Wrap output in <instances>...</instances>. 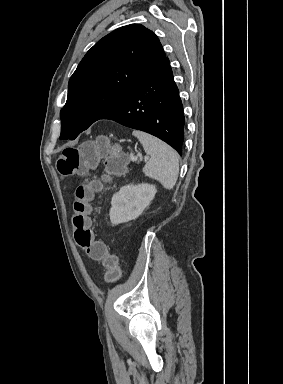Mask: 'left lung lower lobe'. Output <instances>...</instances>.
I'll return each mask as SVG.
<instances>
[{
  "label": "left lung lower lobe",
  "mask_w": 283,
  "mask_h": 384,
  "mask_svg": "<svg viewBox=\"0 0 283 384\" xmlns=\"http://www.w3.org/2000/svg\"><path fill=\"white\" fill-rule=\"evenodd\" d=\"M101 119L150 133L182 155L185 118L169 59L165 58Z\"/></svg>",
  "instance_id": "obj_1"
}]
</instances>
